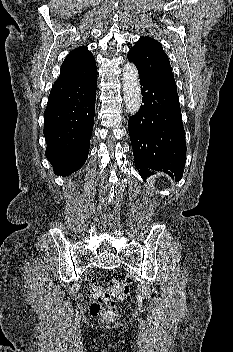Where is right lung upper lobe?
<instances>
[{"label": "right lung upper lobe", "mask_w": 233, "mask_h": 352, "mask_svg": "<svg viewBox=\"0 0 233 352\" xmlns=\"http://www.w3.org/2000/svg\"><path fill=\"white\" fill-rule=\"evenodd\" d=\"M96 68L95 60L87 47L72 50L62 63L60 75L55 83H64L80 78Z\"/></svg>", "instance_id": "obj_1"}]
</instances>
